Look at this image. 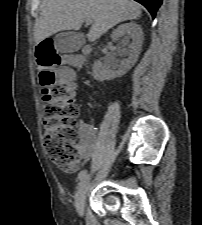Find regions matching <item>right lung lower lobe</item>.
<instances>
[{"mask_svg": "<svg viewBox=\"0 0 202 225\" xmlns=\"http://www.w3.org/2000/svg\"><path fill=\"white\" fill-rule=\"evenodd\" d=\"M135 1L144 5L151 13L153 18L155 17L158 8L162 4V0H135Z\"/></svg>", "mask_w": 202, "mask_h": 225, "instance_id": "98d812e1", "label": "right lung lower lobe"}]
</instances>
